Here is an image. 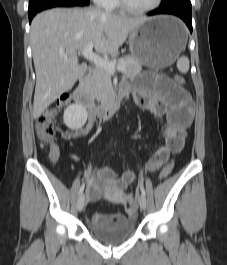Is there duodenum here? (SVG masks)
I'll use <instances>...</instances> for the list:
<instances>
[{
	"label": "duodenum",
	"mask_w": 227,
	"mask_h": 265,
	"mask_svg": "<svg viewBox=\"0 0 227 265\" xmlns=\"http://www.w3.org/2000/svg\"><path fill=\"white\" fill-rule=\"evenodd\" d=\"M126 94L124 90L119 88L117 93L108 101L96 105L89 92V71L83 74L73 89L74 99L87 110L89 119L92 121H103L111 118L121 106Z\"/></svg>",
	"instance_id": "410a0bca"
}]
</instances>
